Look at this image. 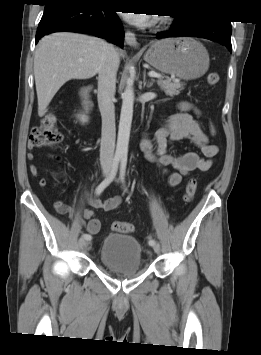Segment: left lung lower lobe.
Here are the masks:
<instances>
[{
	"label": "left lung lower lobe",
	"mask_w": 261,
	"mask_h": 355,
	"mask_svg": "<svg viewBox=\"0 0 261 355\" xmlns=\"http://www.w3.org/2000/svg\"><path fill=\"white\" fill-rule=\"evenodd\" d=\"M175 18L170 30L166 33H157V38L173 36L201 37L222 43L230 52L232 51L231 23L229 20L179 16Z\"/></svg>",
	"instance_id": "left-lung-lower-lobe-1"
}]
</instances>
